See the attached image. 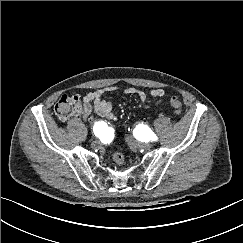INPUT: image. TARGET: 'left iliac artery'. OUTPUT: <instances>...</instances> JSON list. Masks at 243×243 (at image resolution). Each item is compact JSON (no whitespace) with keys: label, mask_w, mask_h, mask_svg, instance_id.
<instances>
[{"label":"left iliac artery","mask_w":243,"mask_h":243,"mask_svg":"<svg viewBox=\"0 0 243 243\" xmlns=\"http://www.w3.org/2000/svg\"><path fill=\"white\" fill-rule=\"evenodd\" d=\"M136 131H135V136H136ZM138 136V135H137ZM148 138L151 140V141H157L158 140V137L154 134V133H150L148 134Z\"/></svg>","instance_id":"1"}]
</instances>
